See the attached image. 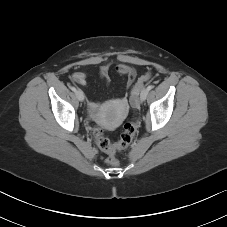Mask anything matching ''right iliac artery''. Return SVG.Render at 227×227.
<instances>
[{
    "instance_id": "82829eb1",
    "label": "right iliac artery",
    "mask_w": 227,
    "mask_h": 227,
    "mask_svg": "<svg viewBox=\"0 0 227 227\" xmlns=\"http://www.w3.org/2000/svg\"><path fill=\"white\" fill-rule=\"evenodd\" d=\"M70 89H71L72 91L76 92V88H75V87L71 86Z\"/></svg>"
}]
</instances>
